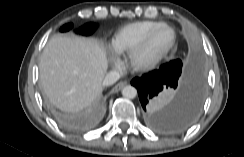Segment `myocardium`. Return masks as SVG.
Wrapping results in <instances>:
<instances>
[{"label": "myocardium", "mask_w": 244, "mask_h": 157, "mask_svg": "<svg viewBox=\"0 0 244 157\" xmlns=\"http://www.w3.org/2000/svg\"><path fill=\"white\" fill-rule=\"evenodd\" d=\"M162 29H168L172 32V38L170 42L151 57L144 58L143 54L147 46L149 45L151 39L155 36V34H157ZM175 39H176V34L174 29L171 26L167 24H162L158 26L157 28L152 30L138 46H136L134 49L131 50V52L129 53L130 65L137 70H146L153 67L164 56V54L173 46V44L175 43Z\"/></svg>", "instance_id": "1"}]
</instances>
